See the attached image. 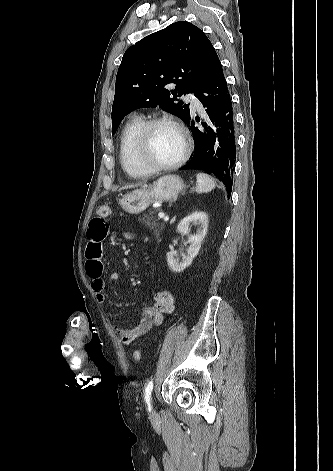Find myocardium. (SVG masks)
I'll use <instances>...</instances> for the list:
<instances>
[{"instance_id": "1", "label": "myocardium", "mask_w": 333, "mask_h": 471, "mask_svg": "<svg viewBox=\"0 0 333 471\" xmlns=\"http://www.w3.org/2000/svg\"><path fill=\"white\" fill-rule=\"evenodd\" d=\"M159 125H170L177 130L182 140L180 155L172 162L160 164L153 161L150 155L151 133ZM191 151V140L185 128L175 119L167 116L156 117L148 120L141 128L136 144V156L139 164L149 172L170 171L181 166L188 158Z\"/></svg>"}]
</instances>
